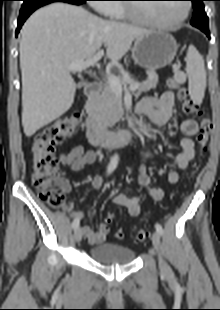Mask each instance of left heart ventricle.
<instances>
[{
  "mask_svg": "<svg viewBox=\"0 0 220 310\" xmlns=\"http://www.w3.org/2000/svg\"><path fill=\"white\" fill-rule=\"evenodd\" d=\"M139 15L161 22H171L179 18L183 11V3H158L136 7Z\"/></svg>",
  "mask_w": 220,
  "mask_h": 310,
  "instance_id": "left-heart-ventricle-1",
  "label": "left heart ventricle"
}]
</instances>
